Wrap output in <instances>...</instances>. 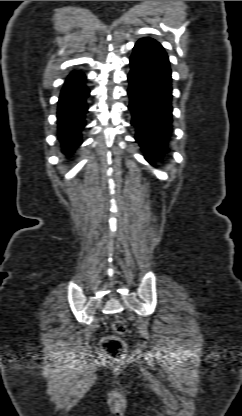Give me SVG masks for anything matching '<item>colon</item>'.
Listing matches in <instances>:
<instances>
[{"label":"colon","mask_w":242,"mask_h":416,"mask_svg":"<svg viewBox=\"0 0 242 416\" xmlns=\"http://www.w3.org/2000/svg\"><path fill=\"white\" fill-rule=\"evenodd\" d=\"M113 330L115 334L104 337L101 341V346L111 356L120 357L126 350L125 342L120 335L127 332V326L123 321L117 320L113 323Z\"/></svg>","instance_id":"colon-1"}]
</instances>
